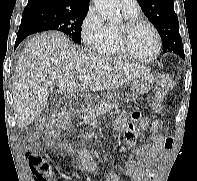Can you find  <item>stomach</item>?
<instances>
[{
    "label": "stomach",
    "instance_id": "stomach-1",
    "mask_svg": "<svg viewBox=\"0 0 197 181\" xmlns=\"http://www.w3.org/2000/svg\"><path fill=\"white\" fill-rule=\"evenodd\" d=\"M155 82V76L150 72H144L141 74L135 81H133L131 86V95L132 96H140L146 94L153 86ZM120 99V95L118 93H107L103 99ZM128 99V96L125 100Z\"/></svg>",
    "mask_w": 197,
    "mask_h": 181
}]
</instances>
